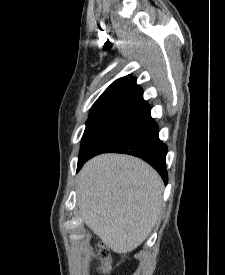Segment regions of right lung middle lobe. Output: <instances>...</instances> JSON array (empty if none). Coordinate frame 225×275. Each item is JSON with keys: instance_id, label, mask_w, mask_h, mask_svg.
I'll return each instance as SVG.
<instances>
[{"instance_id": "right-lung-middle-lobe-1", "label": "right lung middle lobe", "mask_w": 225, "mask_h": 275, "mask_svg": "<svg viewBox=\"0 0 225 275\" xmlns=\"http://www.w3.org/2000/svg\"><path fill=\"white\" fill-rule=\"evenodd\" d=\"M125 118L126 116L123 115H101L88 118L82 137L77 171L97 144Z\"/></svg>"}]
</instances>
